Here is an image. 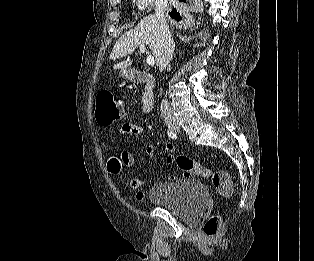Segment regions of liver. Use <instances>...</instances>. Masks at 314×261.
Returning a JSON list of instances; mask_svg holds the SVG:
<instances>
[{
  "instance_id": "1",
  "label": "liver",
  "mask_w": 314,
  "mask_h": 261,
  "mask_svg": "<svg viewBox=\"0 0 314 261\" xmlns=\"http://www.w3.org/2000/svg\"><path fill=\"white\" fill-rule=\"evenodd\" d=\"M147 45L155 58L156 65H160L161 55L164 49V36L160 29V23L155 15H148L140 20L134 29L124 33L115 43L110 54L111 60L131 54L140 45ZM132 64L128 58L116 65L114 69H127Z\"/></svg>"
}]
</instances>
